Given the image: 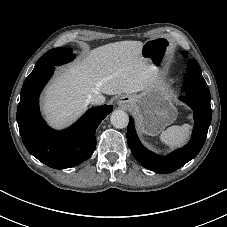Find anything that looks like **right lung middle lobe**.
Instances as JSON below:
<instances>
[{
	"instance_id": "obj_1",
	"label": "right lung middle lobe",
	"mask_w": 227,
	"mask_h": 227,
	"mask_svg": "<svg viewBox=\"0 0 227 227\" xmlns=\"http://www.w3.org/2000/svg\"><path fill=\"white\" fill-rule=\"evenodd\" d=\"M74 58L75 54H73L70 50L66 48L59 47L51 49L37 61L33 71L27 78L32 77L51 66H58L67 63Z\"/></svg>"
}]
</instances>
